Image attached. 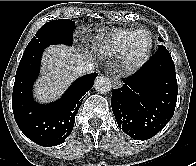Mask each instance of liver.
Listing matches in <instances>:
<instances>
[{
	"label": "liver",
	"instance_id": "obj_1",
	"mask_svg": "<svg viewBox=\"0 0 196 166\" xmlns=\"http://www.w3.org/2000/svg\"><path fill=\"white\" fill-rule=\"evenodd\" d=\"M83 60L85 56L78 49L64 45L46 48L42 56V73L35 83L36 99L51 102L58 98L76 77L74 70Z\"/></svg>",
	"mask_w": 196,
	"mask_h": 166
}]
</instances>
